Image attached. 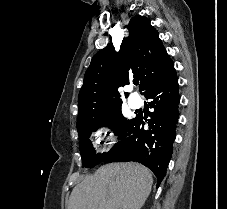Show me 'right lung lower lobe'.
<instances>
[{
    "label": "right lung lower lobe",
    "mask_w": 227,
    "mask_h": 209,
    "mask_svg": "<svg viewBox=\"0 0 227 209\" xmlns=\"http://www.w3.org/2000/svg\"><path fill=\"white\" fill-rule=\"evenodd\" d=\"M153 111L149 114V128L138 114L127 127L123 137L106 153L101 162L136 161L156 175L158 185L166 174L173 152L176 124L179 118L178 78L173 62L159 70L144 93Z\"/></svg>",
    "instance_id": "right-lung-lower-lobe-1"
}]
</instances>
